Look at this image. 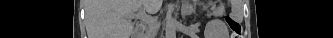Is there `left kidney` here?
I'll use <instances>...</instances> for the list:
<instances>
[{"instance_id": "obj_1", "label": "left kidney", "mask_w": 333, "mask_h": 38, "mask_svg": "<svg viewBox=\"0 0 333 38\" xmlns=\"http://www.w3.org/2000/svg\"><path fill=\"white\" fill-rule=\"evenodd\" d=\"M204 34L213 38H226L227 27L221 20H211L206 24Z\"/></svg>"}]
</instances>
